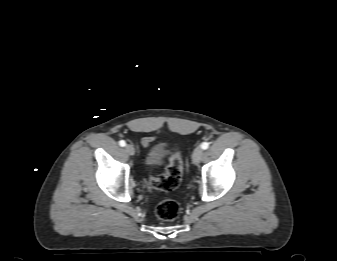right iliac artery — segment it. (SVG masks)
I'll list each match as a JSON object with an SVG mask.
<instances>
[{
    "label": "right iliac artery",
    "instance_id": "obj_1",
    "mask_svg": "<svg viewBox=\"0 0 337 261\" xmlns=\"http://www.w3.org/2000/svg\"><path fill=\"white\" fill-rule=\"evenodd\" d=\"M119 145H120L121 147H124V146L126 145V142H125L124 140H121V141L119 142Z\"/></svg>",
    "mask_w": 337,
    "mask_h": 261
}]
</instances>
